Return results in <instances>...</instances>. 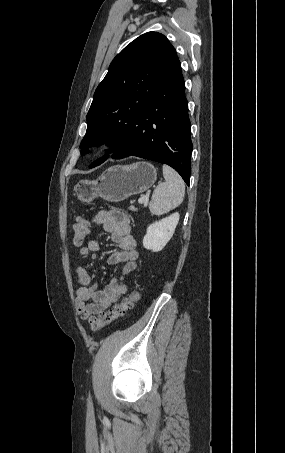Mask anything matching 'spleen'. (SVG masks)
I'll return each mask as SVG.
<instances>
[{
  "label": "spleen",
  "mask_w": 285,
  "mask_h": 453,
  "mask_svg": "<svg viewBox=\"0 0 285 453\" xmlns=\"http://www.w3.org/2000/svg\"><path fill=\"white\" fill-rule=\"evenodd\" d=\"M165 182L159 184L149 203L150 212L160 216L179 206L184 199L185 185L181 176L171 167L162 166Z\"/></svg>",
  "instance_id": "spleen-1"
}]
</instances>
